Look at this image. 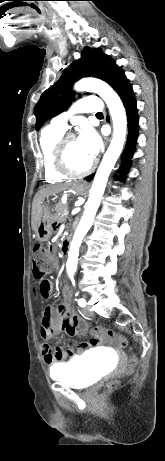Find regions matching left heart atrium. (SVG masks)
<instances>
[{"instance_id":"obj_1","label":"left heart atrium","mask_w":165,"mask_h":461,"mask_svg":"<svg viewBox=\"0 0 165 461\" xmlns=\"http://www.w3.org/2000/svg\"><path fill=\"white\" fill-rule=\"evenodd\" d=\"M77 140L84 152L91 158L99 152L101 140L92 128L88 126L83 127Z\"/></svg>"}]
</instances>
